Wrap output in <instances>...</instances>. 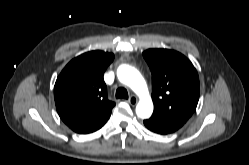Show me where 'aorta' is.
<instances>
[{
	"instance_id": "obj_1",
	"label": "aorta",
	"mask_w": 249,
	"mask_h": 165,
	"mask_svg": "<svg viewBox=\"0 0 249 165\" xmlns=\"http://www.w3.org/2000/svg\"><path fill=\"white\" fill-rule=\"evenodd\" d=\"M117 75L119 80L129 86L140 98L136 106L137 116L142 119L149 118L153 113V102L142 75L135 68L126 65L118 69Z\"/></svg>"
}]
</instances>
